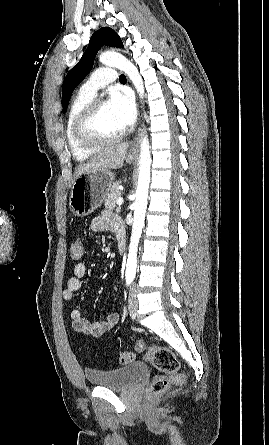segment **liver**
Here are the masks:
<instances>
[{"label":"liver","mask_w":269,"mask_h":445,"mask_svg":"<svg viewBox=\"0 0 269 445\" xmlns=\"http://www.w3.org/2000/svg\"><path fill=\"white\" fill-rule=\"evenodd\" d=\"M128 142L105 148L88 162L80 164L74 172V180L83 173L93 172L100 169H119L124 164Z\"/></svg>","instance_id":"6515ba94"}]
</instances>
